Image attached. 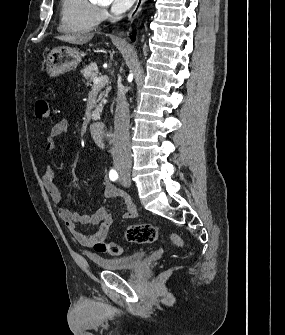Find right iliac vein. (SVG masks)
<instances>
[{
  "instance_id": "right-iliac-vein-1",
  "label": "right iliac vein",
  "mask_w": 285,
  "mask_h": 335,
  "mask_svg": "<svg viewBox=\"0 0 285 335\" xmlns=\"http://www.w3.org/2000/svg\"><path fill=\"white\" fill-rule=\"evenodd\" d=\"M122 174H123V177H128L130 175L128 171H124Z\"/></svg>"
}]
</instances>
